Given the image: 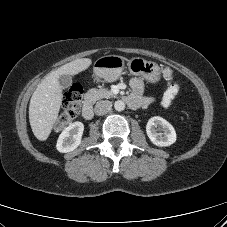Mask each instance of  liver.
Instances as JSON below:
<instances>
[{
  "instance_id": "1",
  "label": "liver",
  "mask_w": 227,
  "mask_h": 227,
  "mask_svg": "<svg viewBox=\"0 0 227 227\" xmlns=\"http://www.w3.org/2000/svg\"><path fill=\"white\" fill-rule=\"evenodd\" d=\"M92 64L91 59L81 58L50 72L37 86L29 105V121L35 137L45 141L57 120L62 104L61 75H76Z\"/></svg>"
}]
</instances>
